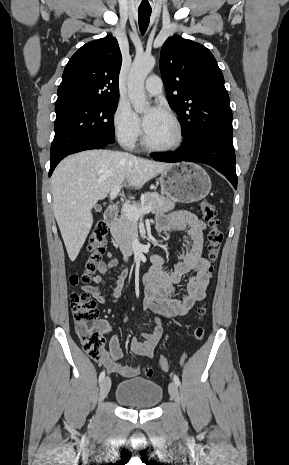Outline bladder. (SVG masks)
I'll return each instance as SVG.
<instances>
[{"label": "bladder", "instance_id": "1", "mask_svg": "<svg viewBox=\"0 0 289 465\" xmlns=\"http://www.w3.org/2000/svg\"><path fill=\"white\" fill-rule=\"evenodd\" d=\"M162 397L160 385L141 377L122 380L115 391V398L120 404L135 409H153Z\"/></svg>", "mask_w": 289, "mask_h": 465}]
</instances>
